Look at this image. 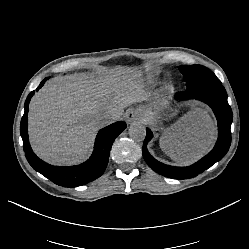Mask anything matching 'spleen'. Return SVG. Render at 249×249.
I'll use <instances>...</instances> for the list:
<instances>
[{
    "instance_id": "spleen-1",
    "label": "spleen",
    "mask_w": 249,
    "mask_h": 249,
    "mask_svg": "<svg viewBox=\"0 0 249 249\" xmlns=\"http://www.w3.org/2000/svg\"><path fill=\"white\" fill-rule=\"evenodd\" d=\"M160 147L162 148V150L165 151V153H166L167 155H169L172 159H174V156H173V154H172V152L170 151L169 148L163 147L162 145H160Z\"/></svg>"
}]
</instances>
